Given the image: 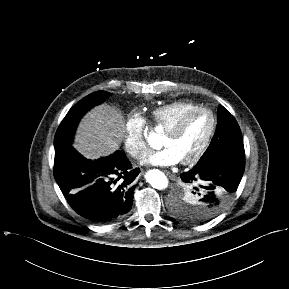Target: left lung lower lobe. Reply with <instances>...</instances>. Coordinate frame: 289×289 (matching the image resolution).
<instances>
[{"instance_id": "obj_1", "label": "left lung lower lobe", "mask_w": 289, "mask_h": 289, "mask_svg": "<svg viewBox=\"0 0 289 289\" xmlns=\"http://www.w3.org/2000/svg\"><path fill=\"white\" fill-rule=\"evenodd\" d=\"M244 167V154H228L197 163L193 169L181 173L180 177L183 182L193 184V191L202 206L201 215L212 219L232 199Z\"/></svg>"}]
</instances>
